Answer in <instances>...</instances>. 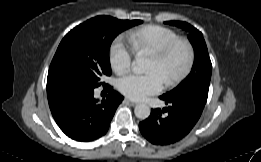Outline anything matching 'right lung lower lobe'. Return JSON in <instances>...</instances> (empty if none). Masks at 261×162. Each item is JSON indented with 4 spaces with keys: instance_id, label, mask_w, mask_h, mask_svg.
<instances>
[{
    "instance_id": "1",
    "label": "right lung lower lobe",
    "mask_w": 261,
    "mask_h": 162,
    "mask_svg": "<svg viewBox=\"0 0 261 162\" xmlns=\"http://www.w3.org/2000/svg\"><path fill=\"white\" fill-rule=\"evenodd\" d=\"M110 93L100 103L93 97L94 89L66 86L48 96L51 113L70 138L88 142L108 131L110 121L123 97L110 87Z\"/></svg>"
}]
</instances>
